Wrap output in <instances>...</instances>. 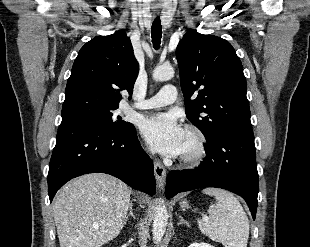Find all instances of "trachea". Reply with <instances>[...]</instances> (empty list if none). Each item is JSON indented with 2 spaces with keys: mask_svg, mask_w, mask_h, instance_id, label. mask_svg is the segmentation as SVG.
<instances>
[{
  "mask_svg": "<svg viewBox=\"0 0 310 247\" xmlns=\"http://www.w3.org/2000/svg\"><path fill=\"white\" fill-rule=\"evenodd\" d=\"M151 38L153 47L157 50L160 48L161 38H162V26L159 17H156L152 23L151 28Z\"/></svg>",
  "mask_w": 310,
  "mask_h": 247,
  "instance_id": "1",
  "label": "trachea"
}]
</instances>
